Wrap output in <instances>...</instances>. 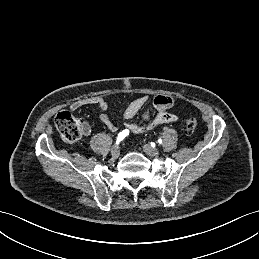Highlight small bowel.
Here are the masks:
<instances>
[{
    "mask_svg": "<svg viewBox=\"0 0 259 259\" xmlns=\"http://www.w3.org/2000/svg\"><path fill=\"white\" fill-rule=\"evenodd\" d=\"M147 102L148 96L144 95L136 98L128 105L123 114L124 126L126 128L134 133H142L152 130L158 125L177 121L178 117L168 112L174 103L173 98L167 95H158L154 98V107L156 110L154 118H151L149 110L145 109L141 113L142 123H133L132 119L144 108ZM87 105H96L100 110V120L103 122V124L110 131H117V127L111 121V118L108 114V103L102 97L95 96L77 100L71 103L70 109L75 111ZM82 131L84 135L90 134L91 127L87 121L82 122Z\"/></svg>",
    "mask_w": 259,
    "mask_h": 259,
    "instance_id": "c3829d8e",
    "label": "small bowel"
}]
</instances>
